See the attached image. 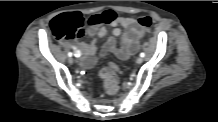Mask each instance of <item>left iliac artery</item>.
<instances>
[{
  "mask_svg": "<svg viewBox=\"0 0 218 122\" xmlns=\"http://www.w3.org/2000/svg\"><path fill=\"white\" fill-rule=\"evenodd\" d=\"M140 56H141V57H144V56H145V53L141 52V53H140Z\"/></svg>",
  "mask_w": 218,
  "mask_h": 122,
  "instance_id": "1",
  "label": "left iliac artery"
}]
</instances>
